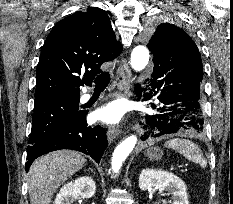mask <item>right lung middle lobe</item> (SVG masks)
<instances>
[{
	"label": "right lung middle lobe",
	"instance_id": "dd1d6c3e",
	"mask_svg": "<svg viewBox=\"0 0 233 204\" xmlns=\"http://www.w3.org/2000/svg\"><path fill=\"white\" fill-rule=\"evenodd\" d=\"M79 100V96H56L35 102L30 146L79 114Z\"/></svg>",
	"mask_w": 233,
	"mask_h": 204
}]
</instances>
